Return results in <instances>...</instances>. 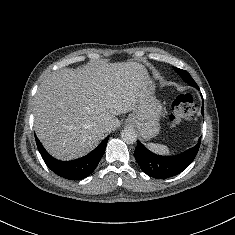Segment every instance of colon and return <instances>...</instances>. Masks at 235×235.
Instances as JSON below:
<instances>
[{
  "mask_svg": "<svg viewBox=\"0 0 235 235\" xmlns=\"http://www.w3.org/2000/svg\"><path fill=\"white\" fill-rule=\"evenodd\" d=\"M196 110L193 95L184 93L179 95L172 103L170 121L179 124L193 117Z\"/></svg>",
  "mask_w": 235,
  "mask_h": 235,
  "instance_id": "5ec220e1",
  "label": "colon"
}]
</instances>
